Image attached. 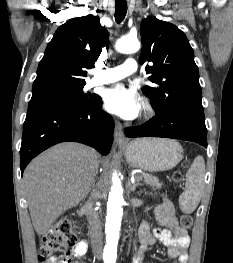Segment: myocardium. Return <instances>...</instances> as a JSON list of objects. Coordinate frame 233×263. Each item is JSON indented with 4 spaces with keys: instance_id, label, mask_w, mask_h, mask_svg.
Listing matches in <instances>:
<instances>
[{
    "instance_id": "f54148a6",
    "label": "myocardium",
    "mask_w": 233,
    "mask_h": 263,
    "mask_svg": "<svg viewBox=\"0 0 233 263\" xmlns=\"http://www.w3.org/2000/svg\"><path fill=\"white\" fill-rule=\"evenodd\" d=\"M155 114V108L152 105L151 102H149L148 100H145L143 102V116L146 119H149L151 117H153Z\"/></svg>"
}]
</instances>
